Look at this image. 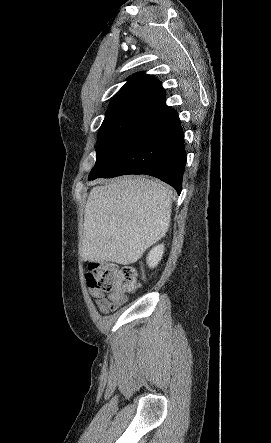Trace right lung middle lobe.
Returning <instances> with one entry per match:
<instances>
[{
  "mask_svg": "<svg viewBox=\"0 0 271 443\" xmlns=\"http://www.w3.org/2000/svg\"><path fill=\"white\" fill-rule=\"evenodd\" d=\"M154 105L145 102L110 104L98 134L96 163L90 172L95 175L112 159L119 145L136 122Z\"/></svg>",
  "mask_w": 271,
  "mask_h": 443,
  "instance_id": "1",
  "label": "right lung middle lobe"
}]
</instances>
